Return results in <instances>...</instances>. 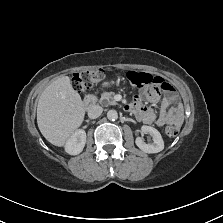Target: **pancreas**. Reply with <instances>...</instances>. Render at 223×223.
<instances>
[{
  "label": "pancreas",
  "instance_id": "pancreas-1",
  "mask_svg": "<svg viewBox=\"0 0 223 223\" xmlns=\"http://www.w3.org/2000/svg\"><path fill=\"white\" fill-rule=\"evenodd\" d=\"M115 95L114 92H104L101 96V99L108 100V105H116V101L113 99V96Z\"/></svg>",
  "mask_w": 223,
  "mask_h": 223
}]
</instances>
